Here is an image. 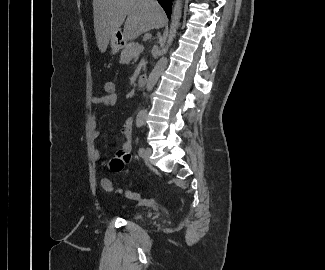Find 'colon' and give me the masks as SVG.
Masks as SVG:
<instances>
[{
    "instance_id": "obj_1",
    "label": "colon",
    "mask_w": 325,
    "mask_h": 270,
    "mask_svg": "<svg viewBox=\"0 0 325 270\" xmlns=\"http://www.w3.org/2000/svg\"><path fill=\"white\" fill-rule=\"evenodd\" d=\"M103 91H104V95H109V96L117 95L116 83L112 80H107L103 85ZM101 186L107 192L115 191L119 194L124 195L125 197H127L129 199H132V200H140L141 199V196L138 192H134V191H130V190L123 191L120 189H114L111 181L107 178H103L101 180Z\"/></svg>"
}]
</instances>
